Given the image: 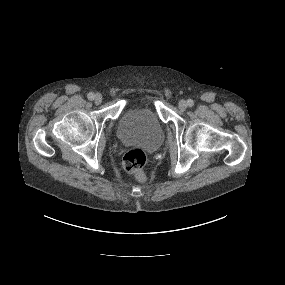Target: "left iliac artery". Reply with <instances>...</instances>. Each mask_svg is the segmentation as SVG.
Returning <instances> with one entry per match:
<instances>
[{"label": "left iliac artery", "mask_w": 285, "mask_h": 285, "mask_svg": "<svg viewBox=\"0 0 285 285\" xmlns=\"http://www.w3.org/2000/svg\"><path fill=\"white\" fill-rule=\"evenodd\" d=\"M187 105H188L189 107H192V106L194 105V101H193L192 99H188V100H187Z\"/></svg>", "instance_id": "1"}]
</instances>
